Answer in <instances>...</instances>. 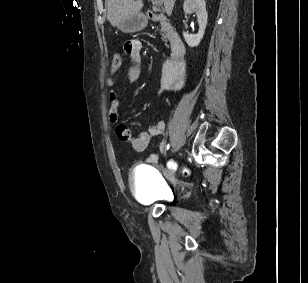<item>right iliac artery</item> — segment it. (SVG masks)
Returning <instances> with one entry per match:
<instances>
[{
    "label": "right iliac artery",
    "mask_w": 308,
    "mask_h": 283,
    "mask_svg": "<svg viewBox=\"0 0 308 283\" xmlns=\"http://www.w3.org/2000/svg\"><path fill=\"white\" fill-rule=\"evenodd\" d=\"M169 147H170V145L168 144V145H167V149H169Z\"/></svg>",
    "instance_id": "1"
}]
</instances>
